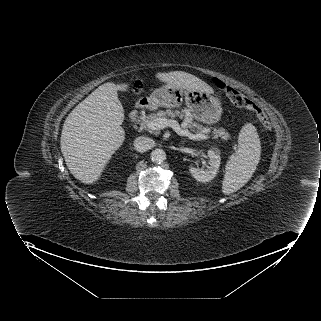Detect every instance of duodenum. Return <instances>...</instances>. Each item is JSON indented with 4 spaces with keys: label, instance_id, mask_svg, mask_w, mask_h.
Segmentation results:
<instances>
[{
    "label": "duodenum",
    "instance_id": "1",
    "mask_svg": "<svg viewBox=\"0 0 321 321\" xmlns=\"http://www.w3.org/2000/svg\"><path fill=\"white\" fill-rule=\"evenodd\" d=\"M150 102L148 99H141L137 102L135 109L132 111L130 117L133 121L138 119L139 113L141 110L146 109L149 106Z\"/></svg>",
    "mask_w": 321,
    "mask_h": 321
}]
</instances>
